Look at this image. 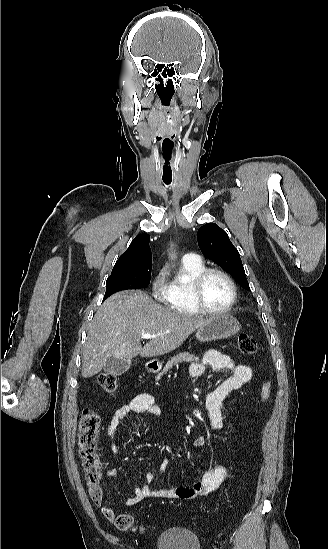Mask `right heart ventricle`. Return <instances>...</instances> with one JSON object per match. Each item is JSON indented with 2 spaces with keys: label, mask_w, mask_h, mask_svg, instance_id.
<instances>
[{
  "label": "right heart ventricle",
  "mask_w": 328,
  "mask_h": 549,
  "mask_svg": "<svg viewBox=\"0 0 328 549\" xmlns=\"http://www.w3.org/2000/svg\"><path fill=\"white\" fill-rule=\"evenodd\" d=\"M206 265V260L200 255L193 254L188 259L182 257L178 273L167 282L166 291L160 303H170L171 310H180V319H202L190 308L193 304L190 284L193 277Z\"/></svg>",
  "instance_id": "obj_1"
}]
</instances>
